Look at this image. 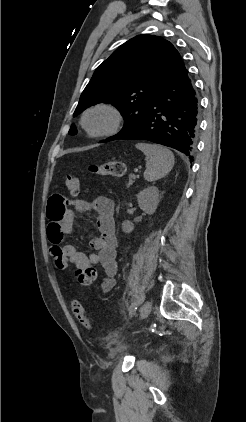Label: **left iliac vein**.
<instances>
[{
	"label": "left iliac vein",
	"instance_id": "4c4485c4",
	"mask_svg": "<svg viewBox=\"0 0 246 422\" xmlns=\"http://www.w3.org/2000/svg\"><path fill=\"white\" fill-rule=\"evenodd\" d=\"M151 309H152L151 302L146 301L140 309L139 320L145 319L150 314Z\"/></svg>",
	"mask_w": 246,
	"mask_h": 422
}]
</instances>
